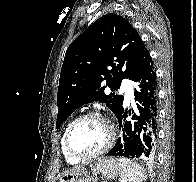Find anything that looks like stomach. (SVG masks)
I'll list each match as a JSON object with an SVG mask.
<instances>
[{
  "label": "stomach",
  "mask_w": 196,
  "mask_h": 182,
  "mask_svg": "<svg viewBox=\"0 0 196 182\" xmlns=\"http://www.w3.org/2000/svg\"><path fill=\"white\" fill-rule=\"evenodd\" d=\"M91 169L107 179L117 177L120 172L119 164L114 158H100L91 165ZM58 182H91V176L83 168L64 173L59 177Z\"/></svg>",
  "instance_id": "1"
}]
</instances>
